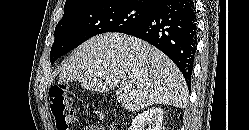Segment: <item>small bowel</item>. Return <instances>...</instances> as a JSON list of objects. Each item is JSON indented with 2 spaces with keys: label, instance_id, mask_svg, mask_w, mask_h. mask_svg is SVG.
<instances>
[{
  "label": "small bowel",
  "instance_id": "small-bowel-1",
  "mask_svg": "<svg viewBox=\"0 0 249 130\" xmlns=\"http://www.w3.org/2000/svg\"><path fill=\"white\" fill-rule=\"evenodd\" d=\"M82 130H105L102 125H97V124H88L85 125Z\"/></svg>",
  "mask_w": 249,
  "mask_h": 130
}]
</instances>
